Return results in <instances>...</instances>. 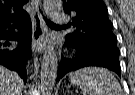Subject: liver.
Returning a JSON list of instances; mask_svg holds the SVG:
<instances>
[{"instance_id": "liver-1", "label": "liver", "mask_w": 135, "mask_h": 95, "mask_svg": "<svg viewBox=\"0 0 135 95\" xmlns=\"http://www.w3.org/2000/svg\"><path fill=\"white\" fill-rule=\"evenodd\" d=\"M22 89L20 76L0 65V95H22Z\"/></svg>"}]
</instances>
